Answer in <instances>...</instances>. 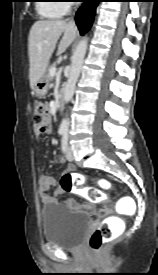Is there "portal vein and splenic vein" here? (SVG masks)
Segmentation results:
<instances>
[{
    "label": "portal vein and splenic vein",
    "instance_id": "1",
    "mask_svg": "<svg viewBox=\"0 0 158 275\" xmlns=\"http://www.w3.org/2000/svg\"><path fill=\"white\" fill-rule=\"evenodd\" d=\"M56 74V68L53 67L51 70H50V75L51 76H54Z\"/></svg>",
    "mask_w": 158,
    "mask_h": 275
}]
</instances>
